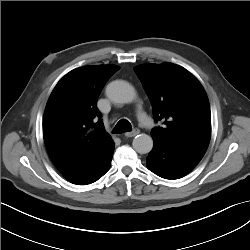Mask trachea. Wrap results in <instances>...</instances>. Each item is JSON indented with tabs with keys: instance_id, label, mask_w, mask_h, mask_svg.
<instances>
[{
	"instance_id": "obj_1",
	"label": "trachea",
	"mask_w": 250,
	"mask_h": 250,
	"mask_svg": "<svg viewBox=\"0 0 250 250\" xmlns=\"http://www.w3.org/2000/svg\"><path fill=\"white\" fill-rule=\"evenodd\" d=\"M132 130V126L130 122L126 119H121L113 129V133L115 134H121L125 132H129Z\"/></svg>"
}]
</instances>
